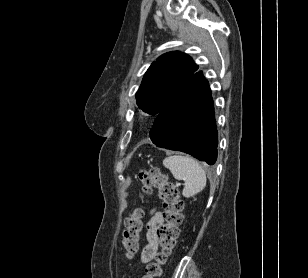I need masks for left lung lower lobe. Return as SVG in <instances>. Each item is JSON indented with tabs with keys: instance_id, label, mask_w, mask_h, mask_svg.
Returning <instances> with one entry per match:
<instances>
[{
	"instance_id": "left-lung-lower-lobe-1",
	"label": "left lung lower lobe",
	"mask_w": 308,
	"mask_h": 278,
	"mask_svg": "<svg viewBox=\"0 0 308 278\" xmlns=\"http://www.w3.org/2000/svg\"><path fill=\"white\" fill-rule=\"evenodd\" d=\"M208 81L194 74L164 106L150 131L158 147L182 151L213 165L217 159V129Z\"/></svg>"
}]
</instances>
